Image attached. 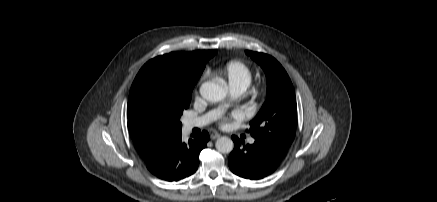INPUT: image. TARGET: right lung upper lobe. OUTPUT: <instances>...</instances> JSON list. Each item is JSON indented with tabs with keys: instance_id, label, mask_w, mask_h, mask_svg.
I'll list each match as a JSON object with an SVG mask.
<instances>
[{
	"instance_id": "obj_1",
	"label": "right lung upper lobe",
	"mask_w": 437,
	"mask_h": 202,
	"mask_svg": "<svg viewBox=\"0 0 437 202\" xmlns=\"http://www.w3.org/2000/svg\"><path fill=\"white\" fill-rule=\"evenodd\" d=\"M216 54V51L172 52L166 56L172 58L178 65L181 73L187 76L202 74L207 61ZM133 143L144 161L151 158L160 148L170 142L177 134H151L130 129Z\"/></svg>"
}]
</instances>
